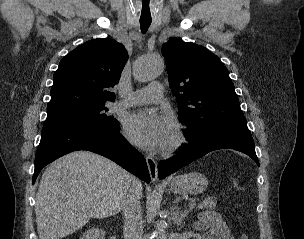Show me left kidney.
Here are the masks:
<instances>
[{"instance_id": "left-kidney-1", "label": "left kidney", "mask_w": 304, "mask_h": 239, "mask_svg": "<svg viewBox=\"0 0 304 239\" xmlns=\"http://www.w3.org/2000/svg\"><path fill=\"white\" fill-rule=\"evenodd\" d=\"M211 228L206 239H234L224 222L222 216L214 211H205L198 215V222H195L197 230Z\"/></svg>"}]
</instances>
